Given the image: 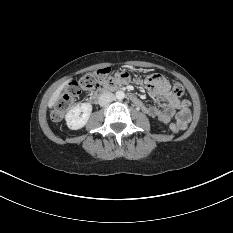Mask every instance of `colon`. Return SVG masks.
<instances>
[{
	"label": "colon",
	"mask_w": 233,
	"mask_h": 233,
	"mask_svg": "<svg viewBox=\"0 0 233 233\" xmlns=\"http://www.w3.org/2000/svg\"><path fill=\"white\" fill-rule=\"evenodd\" d=\"M113 76L114 72L111 68H103L86 73L80 79L71 82L65 91L58 97L54 105L51 113L53 120H61L64 114L73 107L82 92H95L102 86H114L116 82L114 81ZM172 93L175 96L180 97L184 94V87L179 82L173 81ZM170 129L175 133L180 130L179 126L175 123L170 125Z\"/></svg>",
	"instance_id": "colon-1"
}]
</instances>
